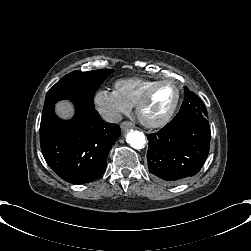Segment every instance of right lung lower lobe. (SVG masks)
Here are the masks:
<instances>
[{
	"mask_svg": "<svg viewBox=\"0 0 251 251\" xmlns=\"http://www.w3.org/2000/svg\"><path fill=\"white\" fill-rule=\"evenodd\" d=\"M65 121L54 107L42 113L40 145L49 167L72 184L93 182L105 172L108 152L121 134L119 125L103 121L95 106L79 101Z\"/></svg>",
	"mask_w": 251,
	"mask_h": 251,
	"instance_id": "1",
	"label": "right lung lower lobe"
}]
</instances>
